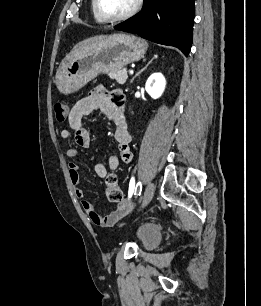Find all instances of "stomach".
Instances as JSON below:
<instances>
[{"label": "stomach", "mask_w": 261, "mask_h": 306, "mask_svg": "<svg viewBox=\"0 0 261 306\" xmlns=\"http://www.w3.org/2000/svg\"><path fill=\"white\" fill-rule=\"evenodd\" d=\"M148 44L141 38L116 33L86 45L61 63L55 77L57 89L70 94L99 74L124 68L144 57Z\"/></svg>", "instance_id": "1"}]
</instances>
